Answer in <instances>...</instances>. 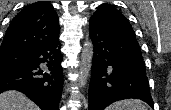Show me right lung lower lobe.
Wrapping results in <instances>:
<instances>
[{
	"label": "right lung lower lobe",
	"mask_w": 171,
	"mask_h": 110,
	"mask_svg": "<svg viewBox=\"0 0 171 110\" xmlns=\"http://www.w3.org/2000/svg\"><path fill=\"white\" fill-rule=\"evenodd\" d=\"M28 60L0 71V93L19 90L42 110H59L63 89L62 55L57 38L27 53Z\"/></svg>",
	"instance_id": "right-lung-lower-lobe-1"
}]
</instances>
